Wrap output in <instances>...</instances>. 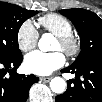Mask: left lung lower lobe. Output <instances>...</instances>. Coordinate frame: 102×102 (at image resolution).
Listing matches in <instances>:
<instances>
[{"instance_id":"1","label":"left lung lower lobe","mask_w":102,"mask_h":102,"mask_svg":"<svg viewBox=\"0 0 102 102\" xmlns=\"http://www.w3.org/2000/svg\"><path fill=\"white\" fill-rule=\"evenodd\" d=\"M76 75V80L68 81V88L56 102H102V61L92 60L71 65L61 71ZM80 76L82 80H80ZM74 85H73V84Z\"/></svg>"}]
</instances>
